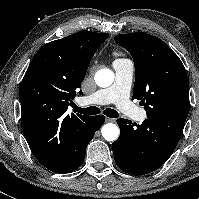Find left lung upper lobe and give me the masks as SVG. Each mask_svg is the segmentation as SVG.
<instances>
[{
	"label": "left lung upper lobe",
	"mask_w": 199,
	"mask_h": 199,
	"mask_svg": "<svg viewBox=\"0 0 199 199\" xmlns=\"http://www.w3.org/2000/svg\"><path fill=\"white\" fill-rule=\"evenodd\" d=\"M115 41L133 57V99L141 100L147 119L183 131L190 107L189 82L179 57L150 34H120Z\"/></svg>",
	"instance_id": "obj_1"
}]
</instances>
